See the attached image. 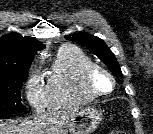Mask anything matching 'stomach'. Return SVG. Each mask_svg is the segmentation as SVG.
<instances>
[{
    "instance_id": "obj_1",
    "label": "stomach",
    "mask_w": 153,
    "mask_h": 134,
    "mask_svg": "<svg viewBox=\"0 0 153 134\" xmlns=\"http://www.w3.org/2000/svg\"><path fill=\"white\" fill-rule=\"evenodd\" d=\"M101 121V112L94 108L80 109L71 121L69 131L71 134H91Z\"/></svg>"
}]
</instances>
